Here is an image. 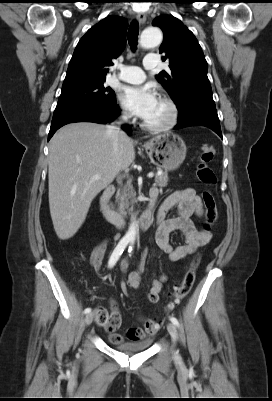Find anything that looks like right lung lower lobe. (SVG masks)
Listing matches in <instances>:
<instances>
[{
	"instance_id": "obj_1",
	"label": "right lung lower lobe",
	"mask_w": 272,
	"mask_h": 401,
	"mask_svg": "<svg viewBox=\"0 0 272 401\" xmlns=\"http://www.w3.org/2000/svg\"><path fill=\"white\" fill-rule=\"evenodd\" d=\"M120 109L116 102L110 108L99 109L95 107H85L70 110L58 115H54L48 135V141L54 135V133L62 126L73 123V122H94L99 124H105L112 121L116 115L119 114ZM123 129L130 133L131 130L127 126H123Z\"/></svg>"
}]
</instances>
